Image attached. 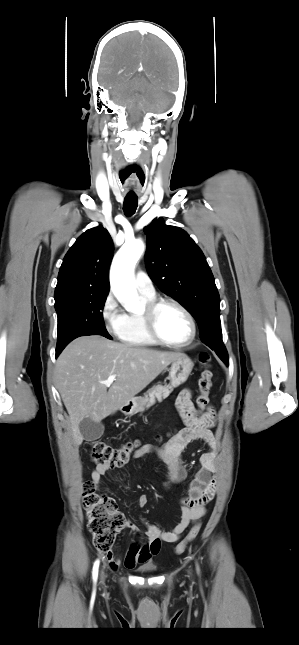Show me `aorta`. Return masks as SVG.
Segmentation results:
<instances>
[{
    "instance_id": "762f6f07",
    "label": "aorta",
    "mask_w": 299,
    "mask_h": 645,
    "mask_svg": "<svg viewBox=\"0 0 299 645\" xmlns=\"http://www.w3.org/2000/svg\"><path fill=\"white\" fill-rule=\"evenodd\" d=\"M140 240L126 242L117 252L110 272L111 289L127 310L138 308L134 268L144 252Z\"/></svg>"
}]
</instances>
